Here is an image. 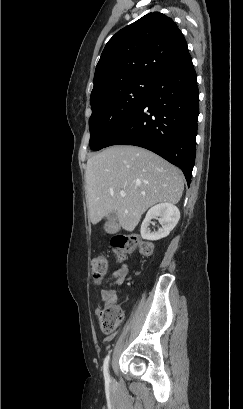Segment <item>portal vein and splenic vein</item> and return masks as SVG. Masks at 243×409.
Wrapping results in <instances>:
<instances>
[{
  "label": "portal vein and splenic vein",
  "instance_id": "portal-vein-and-splenic-vein-1",
  "mask_svg": "<svg viewBox=\"0 0 243 409\" xmlns=\"http://www.w3.org/2000/svg\"><path fill=\"white\" fill-rule=\"evenodd\" d=\"M120 195H121L122 197H125V196H126V192H125V191H121V192H120Z\"/></svg>",
  "mask_w": 243,
  "mask_h": 409
}]
</instances>
